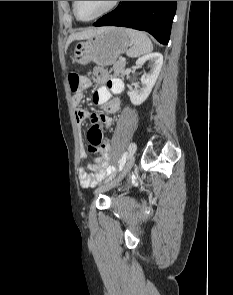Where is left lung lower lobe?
Returning a JSON list of instances; mask_svg holds the SVG:
<instances>
[{
  "instance_id": "1",
  "label": "left lung lower lobe",
  "mask_w": 233,
  "mask_h": 295,
  "mask_svg": "<svg viewBox=\"0 0 233 295\" xmlns=\"http://www.w3.org/2000/svg\"><path fill=\"white\" fill-rule=\"evenodd\" d=\"M177 1H122L94 26H123L147 31L161 44H167Z\"/></svg>"
}]
</instances>
